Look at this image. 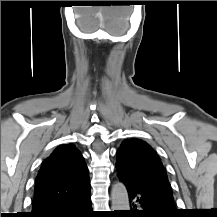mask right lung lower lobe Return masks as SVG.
Wrapping results in <instances>:
<instances>
[{"instance_id":"right-lung-lower-lobe-1","label":"right lung lower lobe","mask_w":217,"mask_h":217,"mask_svg":"<svg viewBox=\"0 0 217 217\" xmlns=\"http://www.w3.org/2000/svg\"><path fill=\"white\" fill-rule=\"evenodd\" d=\"M30 217H93L90 192L74 199H67Z\"/></svg>"}]
</instances>
